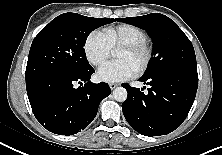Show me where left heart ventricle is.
Listing matches in <instances>:
<instances>
[{
  "instance_id": "b2bd125f",
  "label": "left heart ventricle",
  "mask_w": 222,
  "mask_h": 155,
  "mask_svg": "<svg viewBox=\"0 0 222 155\" xmlns=\"http://www.w3.org/2000/svg\"><path fill=\"white\" fill-rule=\"evenodd\" d=\"M116 59L118 61H125L129 63L136 71V69L141 65L144 59V54L131 53V52L119 49L116 53Z\"/></svg>"
}]
</instances>
